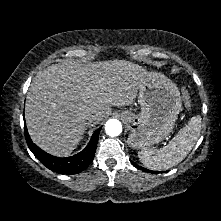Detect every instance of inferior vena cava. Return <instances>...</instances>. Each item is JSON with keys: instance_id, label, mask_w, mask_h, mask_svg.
<instances>
[{"instance_id": "obj_1", "label": "inferior vena cava", "mask_w": 221, "mask_h": 221, "mask_svg": "<svg viewBox=\"0 0 221 221\" xmlns=\"http://www.w3.org/2000/svg\"><path fill=\"white\" fill-rule=\"evenodd\" d=\"M97 122V117L95 115H90V116H87L86 118V124L88 126H93L95 125Z\"/></svg>"}]
</instances>
